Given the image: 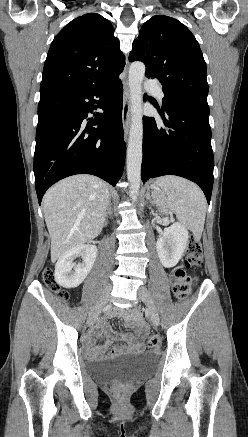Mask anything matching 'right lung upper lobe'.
<instances>
[{"label":"right lung upper lobe","mask_w":248,"mask_h":437,"mask_svg":"<svg viewBox=\"0 0 248 437\" xmlns=\"http://www.w3.org/2000/svg\"><path fill=\"white\" fill-rule=\"evenodd\" d=\"M109 20L89 13L77 17L54 38L44 64L40 93L99 87L125 65Z\"/></svg>","instance_id":"right-lung-upper-lobe-1"}]
</instances>
